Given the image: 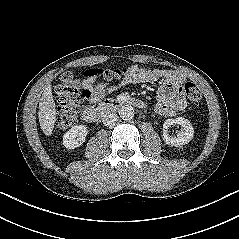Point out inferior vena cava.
Wrapping results in <instances>:
<instances>
[{"label":"inferior vena cava","instance_id":"602c4592","mask_svg":"<svg viewBox=\"0 0 239 239\" xmlns=\"http://www.w3.org/2000/svg\"><path fill=\"white\" fill-rule=\"evenodd\" d=\"M118 115L113 112H108L102 117V122L105 126H114L118 121Z\"/></svg>","mask_w":239,"mask_h":239}]
</instances>
